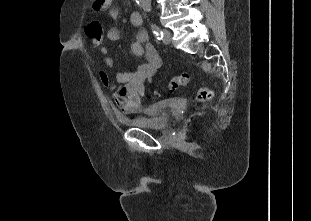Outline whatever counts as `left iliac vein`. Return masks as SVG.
Instances as JSON below:
<instances>
[{"mask_svg":"<svg viewBox=\"0 0 311 221\" xmlns=\"http://www.w3.org/2000/svg\"><path fill=\"white\" fill-rule=\"evenodd\" d=\"M172 41V34L169 30L164 29L163 30V43L168 45Z\"/></svg>","mask_w":311,"mask_h":221,"instance_id":"obj_1","label":"left iliac vein"}]
</instances>
